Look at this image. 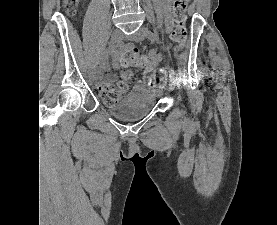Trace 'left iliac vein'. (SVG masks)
<instances>
[{"label": "left iliac vein", "instance_id": "1", "mask_svg": "<svg viewBox=\"0 0 277 225\" xmlns=\"http://www.w3.org/2000/svg\"><path fill=\"white\" fill-rule=\"evenodd\" d=\"M146 37V29L145 28H140L137 32H135L132 35L127 36L128 39L135 41V42H140L144 40ZM176 86V79L174 77L169 78V90L173 91Z\"/></svg>", "mask_w": 277, "mask_h": 225}]
</instances>
